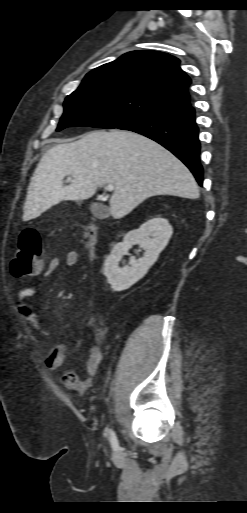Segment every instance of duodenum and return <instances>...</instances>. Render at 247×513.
<instances>
[{
	"instance_id": "410a0bca",
	"label": "duodenum",
	"mask_w": 247,
	"mask_h": 513,
	"mask_svg": "<svg viewBox=\"0 0 247 513\" xmlns=\"http://www.w3.org/2000/svg\"><path fill=\"white\" fill-rule=\"evenodd\" d=\"M87 233H88V253L90 257H95L96 254V245H97V235L98 230L95 224H89L87 226Z\"/></svg>"
}]
</instances>
